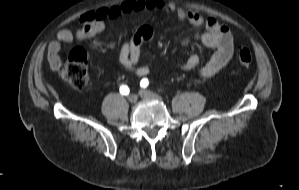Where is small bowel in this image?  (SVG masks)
<instances>
[{
	"mask_svg": "<svg viewBox=\"0 0 299 190\" xmlns=\"http://www.w3.org/2000/svg\"><path fill=\"white\" fill-rule=\"evenodd\" d=\"M165 10L175 12L179 20H186L195 27L206 28V32L196 35L194 38L205 47L213 50L209 60L199 69L203 78H210L224 68L231 60L234 52V39L230 30L221 25L213 16L204 17L198 13L186 11L176 7L172 2L164 3L160 0H126L120 4L89 10L80 16L82 26L75 31L62 29L57 37L49 44L48 60L53 70L61 66L59 52L62 43L71 42L74 39L88 40L102 33L107 20L118 18L127 13L140 11ZM152 38V29L149 25H141L136 33L126 39L119 49L118 59L120 64L136 76L143 77L149 74L150 69L141 63V50ZM191 40L187 39L184 46H188ZM200 64V57L192 53L187 60L181 64L183 71L195 70Z\"/></svg>",
	"mask_w": 299,
	"mask_h": 190,
	"instance_id": "1",
	"label": "small bowel"
}]
</instances>
